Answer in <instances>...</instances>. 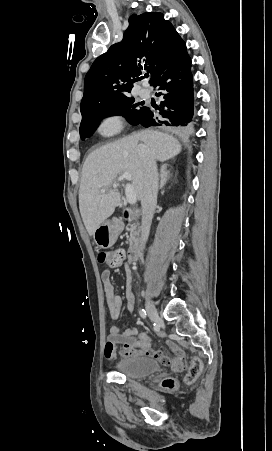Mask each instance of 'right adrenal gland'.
Returning a JSON list of instances; mask_svg holds the SVG:
<instances>
[{
	"label": "right adrenal gland",
	"mask_w": 272,
	"mask_h": 451,
	"mask_svg": "<svg viewBox=\"0 0 272 451\" xmlns=\"http://www.w3.org/2000/svg\"><path fill=\"white\" fill-rule=\"evenodd\" d=\"M165 166H167V164H164V166H162L161 168V172H160V186H159V190H162L164 184H166L168 178H170V174L169 172H167V170H165Z\"/></svg>",
	"instance_id": "2a0ac1e0"
}]
</instances>
